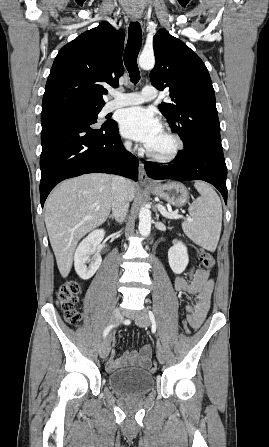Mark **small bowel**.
Returning a JSON list of instances; mask_svg holds the SVG:
<instances>
[{"mask_svg":"<svg viewBox=\"0 0 269 447\" xmlns=\"http://www.w3.org/2000/svg\"><path fill=\"white\" fill-rule=\"evenodd\" d=\"M190 280L183 277H175L173 279L174 288L185 295L195 296L192 303H187L185 308L189 313V321L195 327L199 328L210 308L211 295L214 290V280L210 277L207 270L202 268H191L189 271ZM144 345L140 349V354L130 350L121 357L115 358V350L111 349L110 359L107 363V369L112 371L129 363L135 364L143 369H147L146 364L151 361V356L143 354Z\"/></svg>","mask_w":269,"mask_h":447,"instance_id":"obj_1","label":"small bowel"}]
</instances>
